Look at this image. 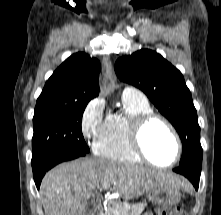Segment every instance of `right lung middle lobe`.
Returning a JSON list of instances; mask_svg holds the SVG:
<instances>
[{
	"label": "right lung middle lobe",
	"mask_w": 221,
	"mask_h": 215,
	"mask_svg": "<svg viewBox=\"0 0 221 215\" xmlns=\"http://www.w3.org/2000/svg\"><path fill=\"white\" fill-rule=\"evenodd\" d=\"M87 104H36L33 117L32 166L58 152H89L81 129L82 115Z\"/></svg>",
	"instance_id": "1"
}]
</instances>
